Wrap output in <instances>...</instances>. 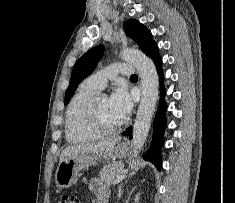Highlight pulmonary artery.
Segmentation results:
<instances>
[{
    "mask_svg": "<svg viewBox=\"0 0 235 203\" xmlns=\"http://www.w3.org/2000/svg\"><path fill=\"white\" fill-rule=\"evenodd\" d=\"M133 73V66L129 63H115L107 68L100 70L89 76L85 82L97 90H102L109 79L114 78L116 75H131Z\"/></svg>",
    "mask_w": 235,
    "mask_h": 203,
    "instance_id": "e3ab8cb5",
    "label": "pulmonary artery"
}]
</instances>
